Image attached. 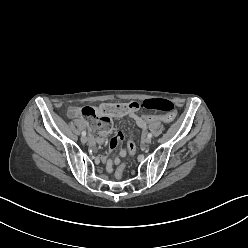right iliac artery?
<instances>
[{
    "label": "right iliac artery",
    "mask_w": 248,
    "mask_h": 248,
    "mask_svg": "<svg viewBox=\"0 0 248 248\" xmlns=\"http://www.w3.org/2000/svg\"><path fill=\"white\" fill-rule=\"evenodd\" d=\"M82 136H86V131H83L82 132Z\"/></svg>",
    "instance_id": "1"
}]
</instances>
